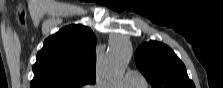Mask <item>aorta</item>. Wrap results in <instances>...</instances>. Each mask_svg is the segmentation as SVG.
Segmentation results:
<instances>
[{"mask_svg":"<svg viewBox=\"0 0 223 88\" xmlns=\"http://www.w3.org/2000/svg\"><path fill=\"white\" fill-rule=\"evenodd\" d=\"M132 56L131 43L116 39L109 45L105 58V78L108 84L115 85L122 78Z\"/></svg>","mask_w":223,"mask_h":88,"instance_id":"obj_1","label":"aorta"}]
</instances>
